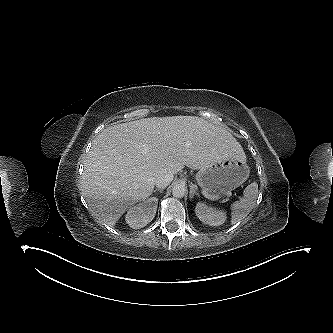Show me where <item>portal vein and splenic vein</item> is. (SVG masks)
I'll return each mask as SVG.
<instances>
[{"label":"portal vein and splenic vein","instance_id":"18ae733b","mask_svg":"<svg viewBox=\"0 0 333 333\" xmlns=\"http://www.w3.org/2000/svg\"><path fill=\"white\" fill-rule=\"evenodd\" d=\"M203 194L205 195V197L209 198V199H217V196H211L209 195L206 191H203ZM227 196H231L232 193L230 191L225 193Z\"/></svg>","mask_w":333,"mask_h":333}]
</instances>
